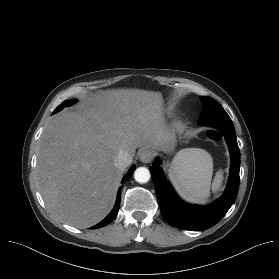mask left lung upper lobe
Masks as SVG:
<instances>
[{"label":"left lung upper lobe","mask_w":279,"mask_h":279,"mask_svg":"<svg viewBox=\"0 0 279 279\" xmlns=\"http://www.w3.org/2000/svg\"><path fill=\"white\" fill-rule=\"evenodd\" d=\"M203 109L201 111L198 123L203 124L210 121H229L231 120L222 106L210 97H201Z\"/></svg>","instance_id":"obj_1"}]
</instances>
